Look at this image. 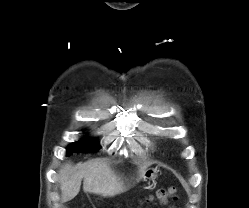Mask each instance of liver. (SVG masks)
Listing matches in <instances>:
<instances>
[{
  "label": "liver",
  "instance_id": "1",
  "mask_svg": "<svg viewBox=\"0 0 249 208\" xmlns=\"http://www.w3.org/2000/svg\"><path fill=\"white\" fill-rule=\"evenodd\" d=\"M146 166L139 169V175ZM83 179V190L86 193L112 197L124 192L128 187L107 163L100 159L89 161L83 165L73 166L66 163L59 170V181L62 201L72 200L80 191Z\"/></svg>",
  "mask_w": 249,
  "mask_h": 208
}]
</instances>
